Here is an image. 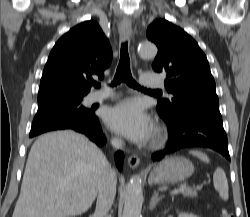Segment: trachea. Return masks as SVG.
<instances>
[{"label": "trachea", "instance_id": "3493384b", "mask_svg": "<svg viewBox=\"0 0 250 217\" xmlns=\"http://www.w3.org/2000/svg\"><path fill=\"white\" fill-rule=\"evenodd\" d=\"M127 46H128L127 42L121 45L120 60H119V64L116 70L114 80L111 83V85L116 86L120 84L121 82H125L128 86L132 88L147 90V89H144L143 87H140L136 83V81L132 78V74L130 70V58H129ZM93 85L96 88L100 87L99 83H94Z\"/></svg>", "mask_w": 250, "mask_h": 217}]
</instances>
